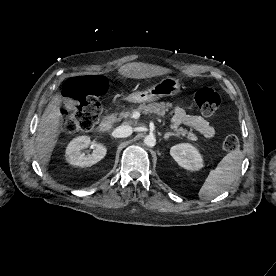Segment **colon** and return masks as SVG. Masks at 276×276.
Returning a JSON list of instances; mask_svg holds the SVG:
<instances>
[{
  "instance_id": "colon-1",
  "label": "colon",
  "mask_w": 276,
  "mask_h": 276,
  "mask_svg": "<svg viewBox=\"0 0 276 276\" xmlns=\"http://www.w3.org/2000/svg\"><path fill=\"white\" fill-rule=\"evenodd\" d=\"M105 79L97 76L72 78L65 83V97L74 101L73 110L65 113L64 130L69 133L88 131L96 123L100 114V97L107 91ZM194 101L204 115H213L219 108L220 97L216 90L210 87H200L195 91ZM224 150L233 152L239 148V140L230 135L223 142Z\"/></svg>"
}]
</instances>
